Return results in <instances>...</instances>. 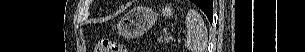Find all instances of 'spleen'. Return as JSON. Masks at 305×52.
<instances>
[{"label": "spleen", "mask_w": 305, "mask_h": 52, "mask_svg": "<svg viewBox=\"0 0 305 52\" xmlns=\"http://www.w3.org/2000/svg\"><path fill=\"white\" fill-rule=\"evenodd\" d=\"M187 28L185 47L191 52H206L208 32L201 15L190 9L186 15Z\"/></svg>", "instance_id": "spleen-1"}]
</instances>
